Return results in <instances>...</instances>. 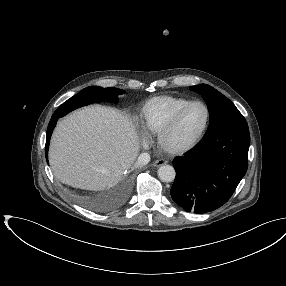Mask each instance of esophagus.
Here are the masks:
<instances>
[{
	"label": "esophagus",
	"instance_id": "34e87169",
	"mask_svg": "<svg viewBox=\"0 0 286 286\" xmlns=\"http://www.w3.org/2000/svg\"><path fill=\"white\" fill-rule=\"evenodd\" d=\"M167 163H168V162H167L166 160H164V159H159V160L154 161L153 165H154L155 167H160V166L165 165V164H167Z\"/></svg>",
	"mask_w": 286,
	"mask_h": 286
}]
</instances>
